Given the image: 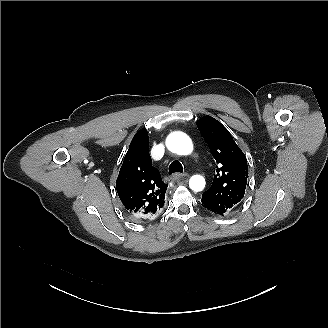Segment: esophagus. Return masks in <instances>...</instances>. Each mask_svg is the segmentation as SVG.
<instances>
[{"mask_svg":"<svg viewBox=\"0 0 328 328\" xmlns=\"http://www.w3.org/2000/svg\"><path fill=\"white\" fill-rule=\"evenodd\" d=\"M188 176L187 173H174L171 175V179H178V178H182V177H186Z\"/></svg>","mask_w":328,"mask_h":328,"instance_id":"1","label":"esophagus"}]
</instances>
